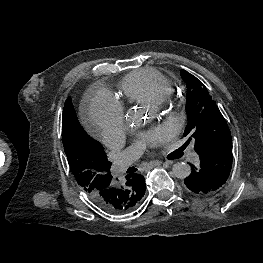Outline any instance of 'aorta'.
I'll return each mask as SVG.
<instances>
[{
  "instance_id": "762f6f07",
  "label": "aorta",
  "mask_w": 263,
  "mask_h": 263,
  "mask_svg": "<svg viewBox=\"0 0 263 263\" xmlns=\"http://www.w3.org/2000/svg\"><path fill=\"white\" fill-rule=\"evenodd\" d=\"M130 122H134L131 115L128 116ZM172 174L179 179H185L190 174V166L185 162H176L172 167Z\"/></svg>"
}]
</instances>
